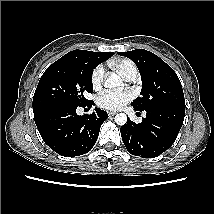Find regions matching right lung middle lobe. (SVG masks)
<instances>
[{
  "instance_id": "1",
  "label": "right lung middle lobe",
  "mask_w": 214,
  "mask_h": 214,
  "mask_svg": "<svg viewBox=\"0 0 214 214\" xmlns=\"http://www.w3.org/2000/svg\"><path fill=\"white\" fill-rule=\"evenodd\" d=\"M95 64L76 58H60L43 73L33 97V111L51 104L78 105L88 102L84 92L93 91Z\"/></svg>"
}]
</instances>
